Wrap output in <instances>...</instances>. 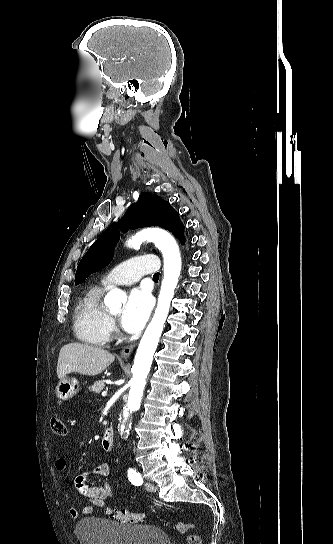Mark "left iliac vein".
Listing matches in <instances>:
<instances>
[{
  "label": "left iliac vein",
  "mask_w": 333,
  "mask_h": 544,
  "mask_svg": "<svg viewBox=\"0 0 333 544\" xmlns=\"http://www.w3.org/2000/svg\"><path fill=\"white\" fill-rule=\"evenodd\" d=\"M145 488H146L147 491H150V492H155L156 491V486L151 482L145 483Z\"/></svg>",
  "instance_id": "4c4485c4"
}]
</instances>
